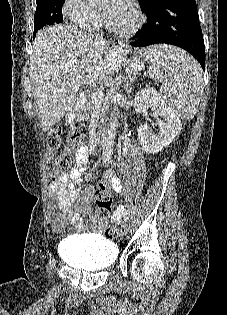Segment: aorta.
Returning <instances> with one entry per match:
<instances>
[{"label": "aorta", "instance_id": "obj_1", "mask_svg": "<svg viewBox=\"0 0 227 315\" xmlns=\"http://www.w3.org/2000/svg\"><path fill=\"white\" fill-rule=\"evenodd\" d=\"M105 0H88L89 4H102ZM118 117V108L115 107L114 112L111 115L110 122L108 124L106 134L104 137L103 155L102 159L109 160L113 152L114 139L116 135V123Z\"/></svg>", "mask_w": 227, "mask_h": 315}]
</instances>
